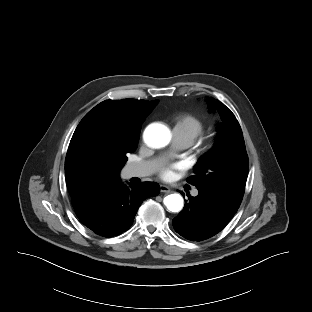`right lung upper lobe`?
Wrapping results in <instances>:
<instances>
[{
  "instance_id": "obj_1",
  "label": "right lung upper lobe",
  "mask_w": 312,
  "mask_h": 312,
  "mask_svg": "<svg viewBox=\"0 0 312 312\" xmlns=\"http://www.w3.org/2000/svg\"><path fill=\"white\" fill-rule=\"evenodd\" d=\"M158 100H106L90 110L77 126L65 159V177L78 217L90 212L121 181L122 167L112 160L88 162L82 152L102 140L108 151L138 144L141 124Z\"/></svg>"
}]
</instances>
